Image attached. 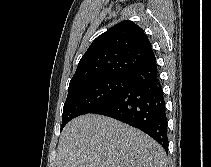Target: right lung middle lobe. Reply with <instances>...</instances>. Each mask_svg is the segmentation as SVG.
I'll return each mask as SVG.
<instances>
[{"label": "right lung middle lobe", "mask_w": 211, "mask_h": 167, "mask_svg": "<svg viewBox=\"0 0 211 167\" xmlns=\"http://www.w3.org/2000/svg\"><path fill=\"white\" fill-rule=\"evenodd\" d=\"M129 86L126 76L94 79L68 89L63 107L62 126L73 118L93 113L119 96Z\"/></svg>", "instance_id": "dd1d6c3e"}]
</instances>
